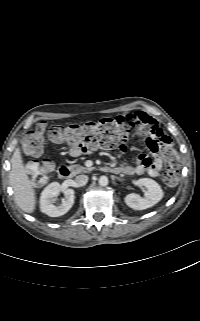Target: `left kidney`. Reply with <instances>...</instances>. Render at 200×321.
Listing matches in <instances>:
<instances>
[{
  "mask_svg": "<svg viewBox=\"0 0 200 321\" xmlns=\"http://www.w3.org/2000/svg\"><path fill=\"white\" fill-rule=\"evenodd\" d=\"M136 185L146 188L144 196L141 197L138 194H128L125 197V203L127 206L134 210H144L154 206L164 196L163 190L160 185L150 178H141L136 181Z\"/></svg>",
  "mask_w": 200,
  "mask_h": 321,
  "instance_id": "obj_1",
  "label": "left kidney"
}]
</instances>
